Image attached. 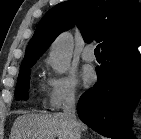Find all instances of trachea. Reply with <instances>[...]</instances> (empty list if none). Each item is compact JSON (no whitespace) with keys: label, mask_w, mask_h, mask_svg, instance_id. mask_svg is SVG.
Returning a JSON list of instances; mask_svg holds the SVG:
<instances>
[{"label":"trachea","mask_w":141,"mask_h":139,"mask_svg":"<svg viewBox=\"0 0 141 139\" xmlns=\"http://www.w3.org/2000/svg\"><path fill=\"white\" fill-rule=\"evenodd\" d=\"M95 54H100V44H98L95 48Z\"/></svg>","instance_id":"1"}]
</instances>
